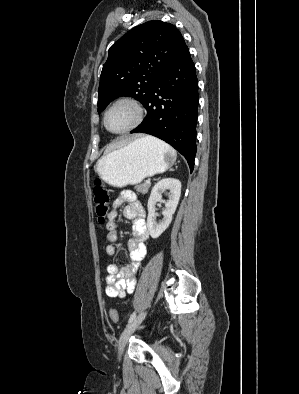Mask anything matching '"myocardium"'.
I'll return each instance as SVG.
<instances>
[{
    "instance_id": "1",
    "label": "myocardium",
    "mask_w": 299,
    "mask_h": 394,
    "mask_svg": "<svg viewBox=\"0 0 299 394\" xmlns=\"http://www.w3.org/2000/svg\"><path fill=\"white\" fill-rule=\"evenodd\" d=\"M120 104H127L133 108L134 120L125 129L120 130V131H112L107 126V115L114 107H116L117 105H120ZM144 116H145V112H144V109L139 101H137L136 99L131 98V97H122V98L116 99L107 107V109L105 110L104 115H103V124H104L105 129L112 134H117V135L126 134V133L136 129L143 122Z\"/></svg>"
}]
</instances>
